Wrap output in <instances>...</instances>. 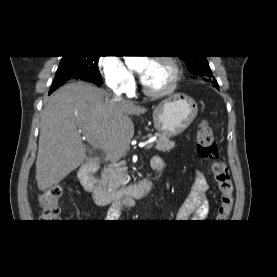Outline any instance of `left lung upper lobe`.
Returning <instances> with one entry per match:
<instances>
[{
	"label": "left lung upper lobe",
	"instance_id": "5c2ea615",
	"mask_svg": "<svg viewBox=\"0 0 277 277\" xmlns=\"http://www.w3.org/2000/svg\"><path fill=\"white\" fill-rule=\"evenodd\" d=\"M184 60L191 72L195 75L202 76L205 81H209L214 85H218L214 78L206 56H179Z\"/></svg>",
	"mask_w": 277,
	"mask_h": 277
}]
</instances>
